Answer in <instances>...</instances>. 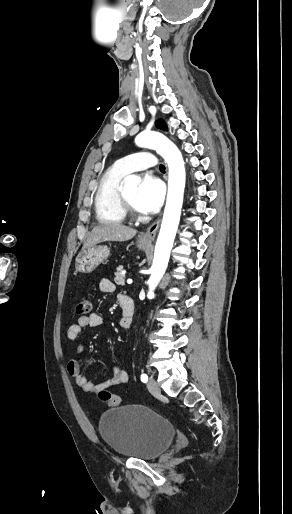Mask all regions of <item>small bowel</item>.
I'll list each match as a JSON object with an SVG mask.
<instances>
[{
  "label": "small bowel",
  "mask_w": 292,
  "mask_h": 514,
  "mask_svg": "<svg viewBox=\"0 0 292 514\" xmlns=\"http://www.w3.org/2000/svg\"><path fill=\"white\" fill-rule=\"evenodd\" d=\"M99 290L102 293L110 294L115 291V285L110 279L103 278L99 282ZM130 326L131 321L126 322V313L123 310L122 317L119 321L120 326L124 329V324ZM103 324V317L100 313L94 312L87 316H81L77 322L70 325L67 330V339L71 342H76L82 330L86 327L99 328ZM84 351V345L78 344L76 348L77 355ZM67 372L75 383L82 388L86 393L95 394L107 390L110 387L122 385L128 382L129 376L127 371L121 365H115L113 368L112 376L104 381L92 382L89 378L82 373L80 359L78 356L72 357L67 362Z\"/></svg>",
  "instance_id": "c3829d8e"
}]
</instances>
